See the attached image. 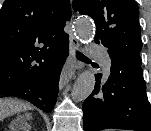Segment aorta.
Returning <instances> with one entry per match:
<instances>
[{"label": "aorta", "mask_w": 151, "mask_h": 131, "mask_svg": "<svg viewBox=\"0 0 151 131\" xmlns=\"http://www.w3.org/2000/svg\"><path fill=\"white\" fill-rule=\"evenodd\" d=\"M75 32L82 41H89L95 34V27L90 18L86 16L79 17L75 22ZM95 74L92 71L83 72L72 89L73 100H84L91 95L95 86Z\"/></svg>", "instance_id": "1"}]
</instances>
